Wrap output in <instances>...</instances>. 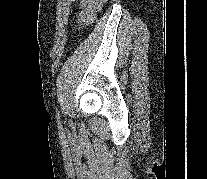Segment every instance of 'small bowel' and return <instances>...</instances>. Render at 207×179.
Returning <instances> with one entry per match:
<instances>
[{
  "label": "small bowel",
  "instance_id": "1",
  "mask_svg": "<svg viewBox=\"0 0 207 179\" xmlns=\"http://www.w3.org/2000/svg\"><path fill=\"white\" fill-rule=\"evenodd\" d=\"M107 0H81L79 19L83 25L90 24L94 15L98 12Z\"/></svg>",
  "mask_w": 207,
  "mask_h": 179
}]
</instances>
